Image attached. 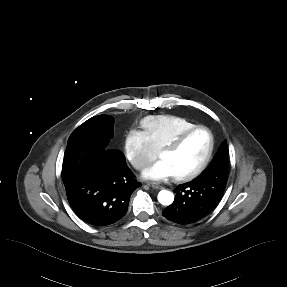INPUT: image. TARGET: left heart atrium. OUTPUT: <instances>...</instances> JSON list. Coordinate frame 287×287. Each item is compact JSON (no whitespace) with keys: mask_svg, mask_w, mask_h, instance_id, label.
Here are the masks:
<instances>
[{"mask_svg":"<svg viewBox=\"0 0 287 287\" xmlns=\"http://www.w3.org/2000/svg\"><path fill=\"white\" fill-rule=\"evenodd\" d=\"M142 177L147 180L162 181L174 177L172 170L164 160H159L147 167Z\"/></svg>","mask_w":287,"mask_h":287,"instance_id":"obj_1","label":"left heart atrium"}]
</instances>
